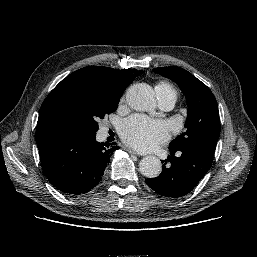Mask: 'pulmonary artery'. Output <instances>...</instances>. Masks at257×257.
Returning a JSON list of instances; mask_svg holds the SVG:
<instances>
[{
	"instance_id": "obj_1",
	"label": "pulmonary artery",
	"mask_w": 257,
	"mask_h": 257,
	"mask_svg": "<svg viewBox=\"0 0 257 257\" xmlns=\"http://www.w3.org/2000/svg\"><path fill=\"white\" fill-rule=\"evenodd\" d=\"M175 104V99L172 97L159 98V106L163 110H170Z\"/></svg>"
}]
</instances>
